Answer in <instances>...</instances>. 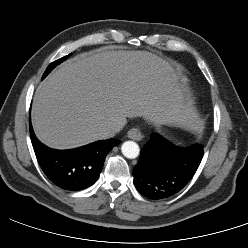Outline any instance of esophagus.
<instances>
[{
	"label": "esophagus",
	"mask_w": 248,
	"mask_h": 248,
	"mask_svg": "<svg viewBox=\"0 0 248 248\" xmlns=\"http://www.w3.org/2000/svg\"><path fill=\"white\" fill-rule=\"evenodd\" d=\"M127 137L132 139V140H136L139 141L142 139V133L138 128H131L128 132H127Z\"/></svg>",
	"instance_id": "obj_1"
}]
</instances>
